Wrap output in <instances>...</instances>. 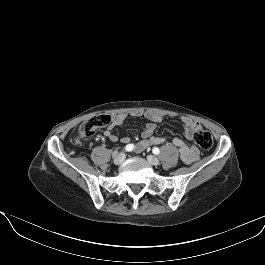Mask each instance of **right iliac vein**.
<instances>
[{
    "instance_id": "63e3f726",
    "label": "right iliac vein",
    "mask_w": 265,
    "mask_h": 265,
    "mask_svg": "<svg viewBox=\"0 0 265 265\" xmlns=\"http://www.w3.org/2000/svg\"><path fill=\"white\" fill-rule=\"evenodd\" d=\"M125 154L124 153H120V154H118L115 158H114V163L116 164V165H120V164H122L123 162H124V160H125Z\"/></svg>"
}]
</instances>
